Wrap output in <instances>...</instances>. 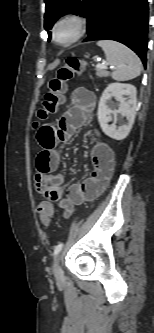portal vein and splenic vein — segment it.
<instances>
[{"label": "portal vein and splenic vein", "instance_id": "obj_1", "mask_svg": "<svg viewBox=\"0 0 154 333\" xmlns=\"http://www.w3.org/2000/svg\"><path fill=\"white\" fill-rule=\"evenodd\" d=\"M97 67L98 68H104V69H107V64H97ZM111 69H113V67H110Z\"/></svg>", "mask_w": 154, "mask_h": 333}]
</instances>
